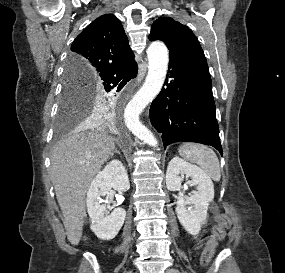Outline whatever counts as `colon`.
<instances>
[{
  "label": "colon",
  "instance_id": "1",
  "mask_svg": "<svg viewBox=\"0 0 285 273\" xmlns=\"http://www.w3.org/2000/svg\"><path fill=\"white\" fill-rule=\"evenodd\" d=\"M214 222L215 224L212 228L211 235L209 236L206 247L202 253L201 263L203 266H206L211 262L215 254L218 239L224 236L225 230L230 226L229 218L218 211L215 212Z\"/></svg>",
  "mask_w": 285,
  "mask_h": 273
}]
</instances>
